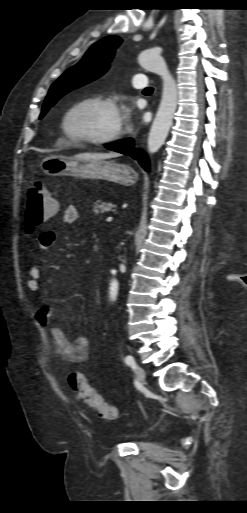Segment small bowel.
Listing matches in <instances>:
<instances>
[{"instance_id": "small-bowel-1", "label": "small bowel", "mask_w": 247, "mask_h": 513, "mask_svg": "<svg viewBox=\"0 0 247 513\" xmlns=\"http://www.w3.org/2000/svg\"><path fill=\"white\" fill-rule=\"evenodd\" d=\"M79 218V212L73 205L65 208L62 221L65 224H72ZM57 239V232L45 228L37 236L38 249L40 251L51 247ZM28 279L26 288L29 292H37L40 289V278L42 268L39 265H32L27 271ZM57 309L53 306L42 305L36 313L35 318L45 327L54 343V352L56 357L64 363H80L85 361L89 355V339L85 336L69 337L63 329L56 323Z\"/></svg>"}]
</instances>
